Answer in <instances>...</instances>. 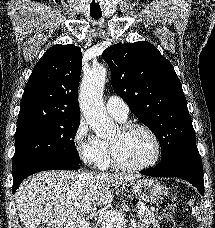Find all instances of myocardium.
<instances>
[{
    "instance_id": "obj_1",
    "label": "myocardium",
    "mask_w": 215,
    "mask_h": 228,
    "mask_svg": "<svg viewBox=\"0 0 215 228\" xmlns=\"http://www.w3.org/2000/svg\"><path fill=\"white\" fill-rule=\"evenodd\" d=\"M134 128H140L149 135V137L152 141V144H153V153L148 158L147 161H145L144 163H142L140 165H135V166L126 165L120 161V159L117 155L116 147H115L114 143L112 141H109L108 142L109 154H110V160H111L112 165L114 167H116L122 171H126V172H137V171H141V170H144V169L150 167L152 164H154L159 159L160 153H161V146H160L159 138L150 126H148L142 122L130 121V122L123 123L119 127V129L123 132H126V131L134 129Z\"/></svg>"
}]
</instances>
